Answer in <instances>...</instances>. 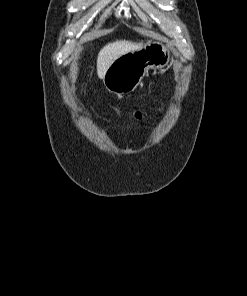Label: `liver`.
I'll return each instance as SVG.
<instances>
[{
	"label": "liver",
	"instance_id": "obj_1",
	"mask_svg": "<svg viewBox=\"0 0 247 296\" xmlns=\"http://www.w3.org/2000/svg\"><path fill=\"white\" fill-rule=\"evenodd\" d=\"M142 42H131L119 40L105 45L98 53L97 57V74L100 79H103L110 65L120 56L136 51L142 46Z\"/></svg>",
	"mask_w": 247,
	"mask_h": 296
}]
</instances>
